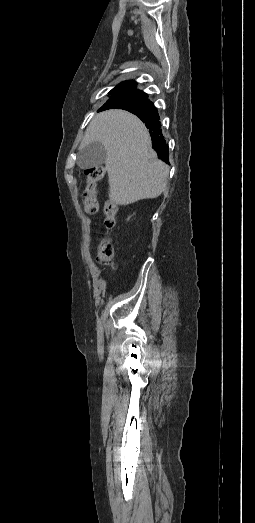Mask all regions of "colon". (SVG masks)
Returning <instances> with one entry per match:
<instances>
[{"label": "colon", "mask_w": 255, "mask_h": 523, "mask_svg": "<svg viewBox=\"0 0 255 523\" xmlns=\"http://www.w3.org/2000/svg\"><path fill=\"white\" fill-rule=\"evenodd\" d=\"M105 168L95 166L85 170L86 188L83 192V210L86 214L93 215L99 210L98 184L104 178ZM117 206L107 201L103 207V223L107 231L115 228L117 223ZM114 247L108 238H102L96 252V260L99 264L108 265L113 261Z\"/></svg>", "instance_id": "5ec220e1"}]
</instances>
